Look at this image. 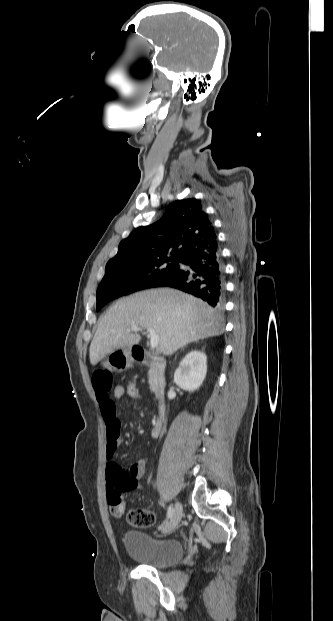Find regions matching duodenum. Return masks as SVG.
Segmentation results:
<instances>
[{"mask_svg":"<svg viewBox=\"0 0 333 621\" xmlns=\"http://www.w3.org/2000/svg\"><path fill=\"white\" fill-rule=\"evenodd\" d=\"M132 356L137 363L150 367L155 372L156 394L160 403V411L153 425L152 435L158 436L161 433L166 420V405L164 402L165 361L141 348H133Z\"/></svg>","mask_w":333,"mask_h":621,"instance_id":"1","label":"duodenum"}]
</instances>
